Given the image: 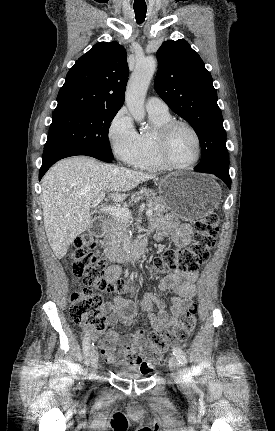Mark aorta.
I'll use <instances>...</instances> for the list:
<instances>
[{"mask_svg":"<svg viewBox=\"0 0 275 431\" xmlns=\"http://www.w3.org/2000/svg\"><path fill=\"white\" fill-rule=\"evenodd\" d=\"M157 67L156 59L152 56L146 57L136 63L135 69L129 79L125 102L127 108L136 122L145 125L144 101L148 86ZM130 235H125L123 240V251L130 253Z\"/></svg>","mask_w":275,"mask_h":431,"instance_id":"aorta-1","label":"aorta"}]
</instances>
